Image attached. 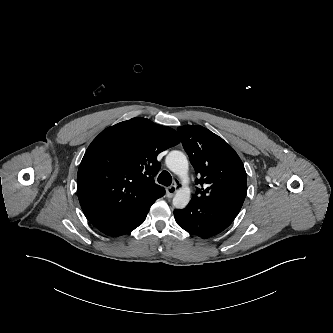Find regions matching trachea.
<instances>
[{
    "mask_svg": "<svg viewBox=\"0 0 333 333\" xmlns=\"http://www.w3.org/2000/svg\"><path fill=\"white\" fill-rule=\"evenodd\" d=\"M158 183L164 186H170L172 184V176L167 171H162L158 176Z\"/></svg>",
    "mask_w": 333,
    "mask_h": 333,
    "instance_id": "obj_1",
    "label": "trachea"
}]
</instances>
